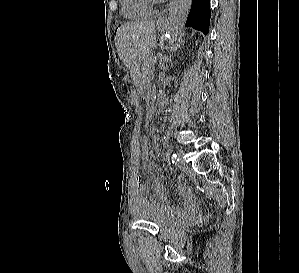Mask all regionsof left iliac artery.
Returning a JSON list of instances; mask_svg holds the SVG:
<instances>
[{"label": "left iliac artery", "mask_w": 299, "mask_h": 273, "mask_svg": "<svg viewBox=\"0 0 299 273\" xmlns=\"http://www.w3.org/2000/svg\"><path fill=\"white\" fill-rule=\"evenodd\" d=\"M179 161V157L177 154H173L172 155V163L175 164Z\"/></svg>", "instance_id": "44dca946"}]
</instances>
